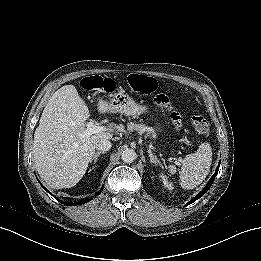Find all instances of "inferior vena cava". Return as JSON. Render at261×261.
<instances>
[{
  "label": "inferior vena cava",
  "instance_id": "602c4592",
  "mask_svg": "<svg viewBox=\"0 0 261 261\" xmlns=\"http://www.w3.org/2000/svg\"><path fill=\"white\" fill-rule=\"evenodd\" d=\"M112 144L108 139H100L97 143L95 148L99 151H108L111 148Z\"/></svg>",
  "mask_w": 261,
  "mask_h": 261
}]
</instances>
